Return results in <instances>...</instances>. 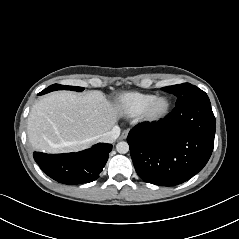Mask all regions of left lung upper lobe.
Segmentation results:
<instances>
[{"label": "left lung upper lobe", "mask_w": 239, "mask_h": 239, "mask_svg": "<svg viewBox=\"0 0 239 239\" xmlns=\"http://www.w3.org/2000/svg\"><path fill=\"white\" fill-rule=\"evenodd\" d=\"M162 90L177 97L176 105H180L198 96L206 95L204 91L190 83L168 86L162 88Z\"/></svg>", "instance_id": "1"}]
</instances>
